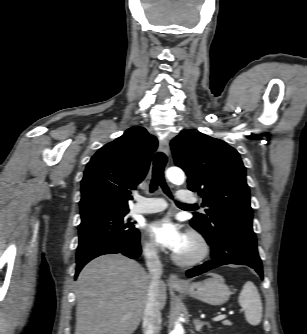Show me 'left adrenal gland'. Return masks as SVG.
<instances>
[{"mask_svg":"<svg viewBox=\"0 0 307 334\" xmlns=\"http://www.w3.org/2000/svg\"><path fill=\"white\" fill-rule=\"evenodd\" d=\"M193 323L197 332H200L203 326L210 328V324L208 322L201 321L200 319H195Z\"/></svg>","mask_w":307,"mask_h":334,"instance_id":"1","label":"left adrenal gland"}]
</instances>
